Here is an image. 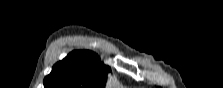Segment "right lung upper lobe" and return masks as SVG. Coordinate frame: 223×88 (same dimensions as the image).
Listing matches in <instances>:
<instances>
[{
  "label": "right lung upper lobe",
  "mask_w": 223,
  "mask_h": 88,
  "mask_svg": "<svg viewBox=\"0 0 223 88\" xmlns=\"http://www.w3.org/2000/svg\"><path fill=\"white\" fill-rule=\"evenodd\" d=\"M110 68L87 50L69 53L44 79V88H104Z\"/></svg>",
  "instance_id": "obj_1"
}]
</instances>
